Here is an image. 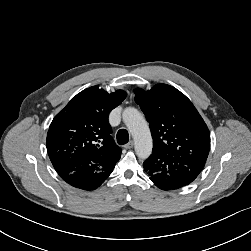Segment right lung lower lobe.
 <instances>
[{"mask_svg":"<svg viewBox=\"0 0 251 251\" xmlns=\"http://www.w3.org/2000/svg\"><path fill=\"white\" fill-rule=\"evenodd\" d=\"M65 157L66 156L63 153H61L51 158L50 160L55 170L62 177V179L74 187L84 190L96 189L111 174V173L99 172L98 171L99 167L97 164H87L78 167L77 171L74 172L73 174L63 175V172H65L63 168L66 167Z\"/></svg>","mask_w":251,"mask_h":251,"instance_id":"98d812e1","label":"right lung lower lobe"}]
</instances>
